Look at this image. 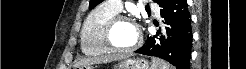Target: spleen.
I'll return each mask as SVG.
<instances>
[{
  "label": "spleen",
  "mask_w": 246,
  "mask_h": 69,
  "mask_svg": "<svg viewBox=\"0 0 246 69\" xmlns=\"http://www.w3.org/2000/svg\"><path fill=\"white\" fill-rule=\"evenodd\" d=\"M152 61H153V64H152L151 69H170V65H168L162 60L153 59Z\"/></svg>",
  "instance_id": "obj_1"
}]
</instances>
